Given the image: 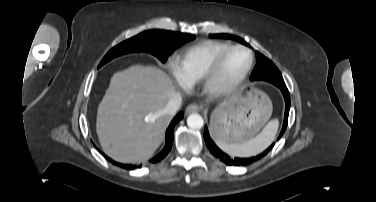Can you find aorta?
Here are the masks:
<instances>
[{
  "label": "aorta",
  "mask_w": 376,
  "mask_h": 202,
  "mask_svg": "<svg viewBox=\"0 0 376 202\" xmlns=\"http://www.w3.org/2000/svg\"><path fill=\"white\" fill-rule=\"evenodd\" d=\"M187 125L192 129H201L204 125V120L201 115L193 113L187 117Z\"/></svg>",
  "instance_id": "762f6f07"
}]
</instances>
